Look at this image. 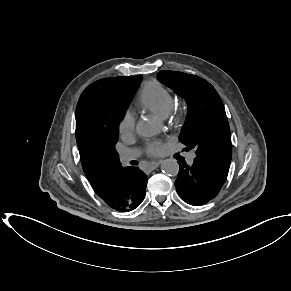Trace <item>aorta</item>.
I'll list each match as a JSON object with an SVG mask.
<instances>
[{
    "instance_id": "762f6f07",
    "label": "aorta",
    "mask_w": 291,
    "mask_h": 291,
    "mask_svg": "<svg viewBox=\"0 0 291 291\" xmlns=\"http://www.w3.org/2000/svg\"><path fill=\"white\" fill-rule=\"evenodd\" d=\"M136 132L140 136L151 137L156 134V127L149 120H141L136 125ZM161 170L169 176H175L179 172V164L175 159H165L161 163Z\"/></svg>"
}]
</instances>
